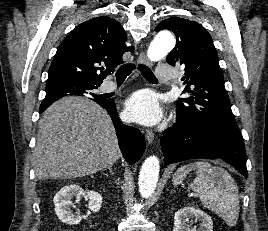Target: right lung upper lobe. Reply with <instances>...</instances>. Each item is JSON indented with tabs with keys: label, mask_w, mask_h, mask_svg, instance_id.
<instances>
[{
	"label": "right lung upper lobe",
	"mask_w": 268,
	"mask_h": 231,
	"mask_svg": "<svg viewBox=\"0 0 268 231\" xmlns=\"http://www.w3.org/2000/svg\"><path fill=\"white\" fill-rule=\"evenodd\" d=\"M123 27L109 17H96L79 24L60 44L48 71L47 83L78 81L100 86L122 56L133 47H126ZM105 64L104 67H99ZM100 71V74L97 73ZM55 100H43L44 111Z\"/></svg>",
	"instance_id": "obj_1"
}]
</instances>
